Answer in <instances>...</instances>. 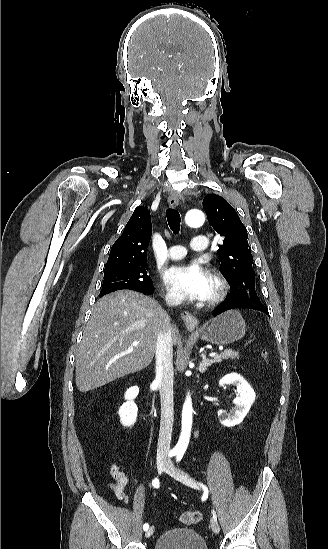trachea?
Masks as SVG:
<instances>
[{
    "mask_svg": "<svg viewBox=\"0 0 328 549\" xmlns=\"http://www.w3.org/2000/svg\"><path fill=\"white\" fill-rule=\"evenodd\" d=\"M168 225L174 234H178L180 229L181 217L175 208H169L166 211Z\"/></svg>",
    "mask_w": 328,
    "mask_h": 549,
    "instance_id": "obj_1",
    "label": "trachea"
}]
</instances>
